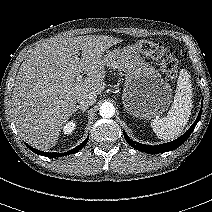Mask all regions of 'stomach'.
<instances>
[{
	"instance_id": "obj_1",
	"label": "stomach",
	"mask_w": 212,
	"mask_h": 212,
	"mask_svg": "<svg viewBox=\"0 0 212 212\" xmlns=\"http://www.w3.org/2000/svg\"><path fill=\"white\" fill-rule=\"evenodd\" d=\"M105 66L124 72L122 102L128 114L136 118H154L169 107L171 86L147 63L134 45L107 51Z\"/></svg>"
}]
</instances>
